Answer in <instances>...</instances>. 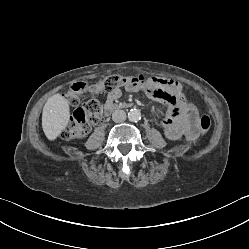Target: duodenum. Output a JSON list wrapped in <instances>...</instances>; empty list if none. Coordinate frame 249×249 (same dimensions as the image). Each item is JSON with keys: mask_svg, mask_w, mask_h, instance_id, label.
<instances>
[{"mask_svg": "<svg viewBox=\"0 0 249 249\" xmlns=\"http://www.w3.org/2000/svg\"><path fill=\"white\" fill-rule=\"evenodd\" d=\"M129 105L128 104H122L121 105V107L122 108H126V107H128ZM119 108V106L118 105H112V106H110L106 111L109 113V112H112V111H115L116 109H118Z\"/></svg>", "mask_w": 249, "mask_h": 249, "instance_id": "obj_1", "label": "duodenum"}]
</instances>
